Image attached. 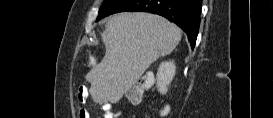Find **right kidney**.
<instances>
[{
    "label": "right kidney",
    "mask_w": 273,
    "mask_h": 118,
    "mask_svg": "<svg viewBox=\"0 0 273 118\" xmlns=\"http://www.w3.org/2000/svg\"><path fill=\"white\" fill-rule=\"evenodd\" d=\"M176 66L174 61L162 62L156 75L157 88L160 93L165 94L168 86L175 76Z\"/></svg>",
    "instance_id": "ca27d5eb"
}]
</instances>
